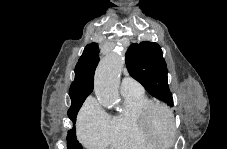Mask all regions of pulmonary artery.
<instances>
[{"label":"pulmonary artery","instance_id":"obj_1","mask_svg":"<svg viewBox=\"0 0 227 149\" xmlns=\"http://www.w3.org/2000/svg\"><path fill=\"white\" fill-rule=\"evenodd\" d=\"M120 89L122 94L143 91L142 86L130 77H124L122 79Z\"/></svg>","mask_w":227,"mask_h":149}]
</instances>
